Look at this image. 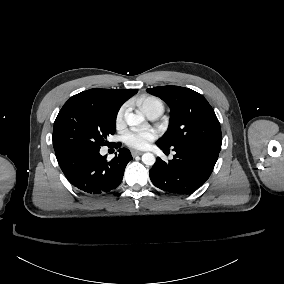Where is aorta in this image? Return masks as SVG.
<instances>
[{"mask_svg": "<svg viewBox=\"0 0 284 284\" xmlns=\"http://www.w3.org/2000/svg\"><path fill=\"white\" fill-rule=\"evenodd\" d=\"M126 122L129 126H136L141 124L145 118L142 114H134V113H129L125 115ZM142 161L144 164L152 166L154 165L156 159L155 156L152 153H144L142 155Z\"/></svg>", "mask_w": 284, "mask_h": 284, "instance_id": "obj_1", "label": "aorta"}]
</instances>
